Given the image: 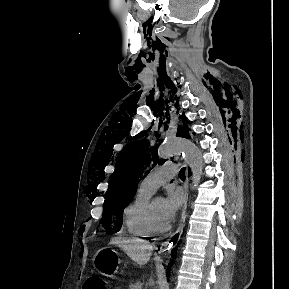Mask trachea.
<instances>
[{"label": "trachea", "mask_w": 289, "mask_h": 289, "mask_svg": "<svg viewBox=\"0 0 289 289\" xmlns=\"http://www.w3.org/2000/svg\"><path fill=\"white\" fill-rule=\"evenodd\" d=\"M179 177H180L181 179H185V168H182V169L180 170V172H179Z\"/></svg>", "instance_id": "1"}]
</instances>
